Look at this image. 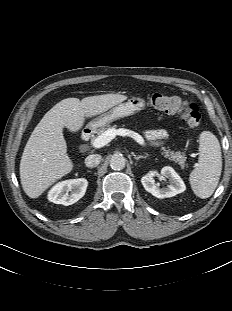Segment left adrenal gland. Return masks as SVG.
<instances>
[{"label": "left adrenal gland", "mask_w": 232, "mask_h": 311, "mask_svg": "<svg viewBox=\"0 0 232 311\" xmlns=\"http://www.w3.org/2000/svg\"><path fill=\"white\" fill-rule=\"evenodd\" d=\"M133 156H134V159H135V160H139V159H141V158H147V156H143V155H139V156L133 155Z\"/></svg>", "instance_id": "obj_1"}]
</instances>
